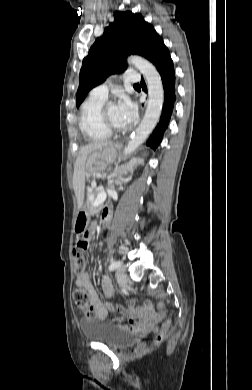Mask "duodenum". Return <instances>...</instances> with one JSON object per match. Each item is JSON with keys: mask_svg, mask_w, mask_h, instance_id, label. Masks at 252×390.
<instances>
[{"mask_svg": "<svg viewBox=\"0 0 252 390\" xmlns=\"http://www.w3.org/2000/svg\"><path fill=\"white\" fill-rule=\"evenodd\" d=\"M106 208V207H105ZM108 208V207H107ZM103 225L105 226V227H107L108 225H109V220L108 219H105L104 221H103Z\"/></svg>", "mask_w": 252, "mask_h": 390, "instance_id": "obj_1", "label": "duodenum"}]
</instances>
